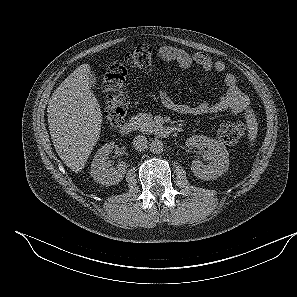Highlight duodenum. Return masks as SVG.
Listing matches in <instances>:
<instances>
[{
	"label": "duodenum",
	"mask_w": 297,
	"mask_h": 297,
	"mask_svg": "<svg viewBox=\"0 0 297 297\" xmlns=\"http://www.w3.org/2000/svg\"><path fill=\"white\" fill-rule=\"evenodd\" d=\"M135 128H136V122L133 120H128L120 125L119 132L122 135H129L134 132ZM179 131H180V128L178 126H163L158 129V135L160 137H167Z\"/></svg>",
	"instance_id": "duodenum-1"
}]
</instances>
